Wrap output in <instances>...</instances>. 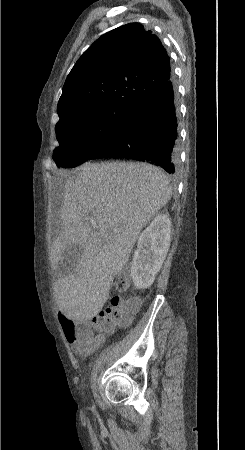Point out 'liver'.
<instances>
[{"label": "liver", "mask_w": 245, "mask_h": 450, "mask_svg": "<svg viewBox=\"0 0 245 450\" xmlns=\"http://www.w3.org/2000/svg\"><path fill=\"white\" fill-rule=\"evenodd\" d=\"M79 170L65 183L64 231L52 245L51 266L57 270L68 246L83 248L74 273L57 279L55 295L64 315L88 319L104 306L113 277L128 262L141 230L170 200L172 189L165 173L147 163H86ZM114 228L120 231L114 233Z\"/></svg>", "instance_id": "1"}]
</instances>
